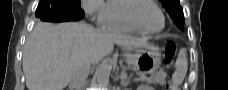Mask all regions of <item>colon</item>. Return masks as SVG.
I'll return each mask as SVG.
<instances>
[{"label": "colon", "mask_w": 228, "mask_h": 90, "mask_svg": "<svg viewBox=\"0 0 228 90\" xmlns=\"http://www.w3.org/2000/svg\"><path fill=\"white\" fill-rule=\"evenodd\" d=\"M177 44L173 41H170L166 45V51H165V66L170 67L172 65L173 59L176 56L177 53ZM170 90H177V87H175L173 84H169Z\"/></svg>", "instance_id": "obj_1"}]
</instances>
